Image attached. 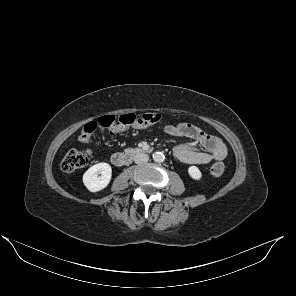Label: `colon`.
Wrapping results in <instances>:
<instances>
[{"label": "colon", "mask_w": 296, "mask_h": 296, "mask_svg": "<svg viewBox=\"0 0 296 296\" xmlns=\"http://www.w3.org/2000/svg\"><path fill=\"white\" fill-rule=\"evenodd\" d=\"M162 120V116L158 113H146L135 115L128 113L115 117L113 115H104L97 120L88 122L82 129L79 136L80 141L90 142L95 132L100 130L109 134H117L130 129L144 128L156 124ZM89 151L71 149L69 150L61 163L62 170L71 173L84 167L89 159ZM225 171V166L221 162L214 163L210 172L215 177H220Z\"/></svg>", "instance_id": "5ec220e1"}]
</instances>
